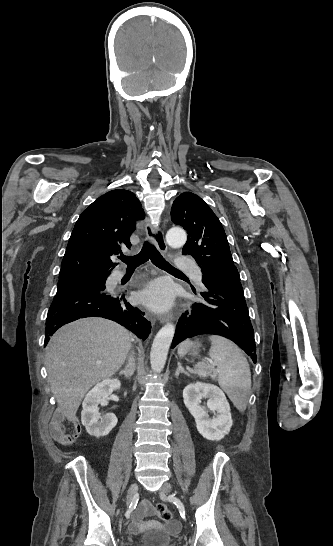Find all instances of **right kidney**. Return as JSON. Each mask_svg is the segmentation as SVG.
<instances>
[{
	"mask_svg": "<svg viewBox=\"0 0 333 546\" xmlns=\"http://www.w3.org/2000/svg\"><path fill=\"white\" fill-rule=\"evenodd\" d=\"M118 379H105L97 383L87 394L83 401L81 421L86 431L94 437L100 438L109 434L116 426L118 419L113 413L101 416L99 404H108V397L114 390L120 389Z\"/></svg>",
	"mask_w": 333,
	"mask_h": 546,
	"instance_id": "1",
	"label": "right kidney"
}]
</instances>
